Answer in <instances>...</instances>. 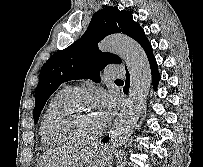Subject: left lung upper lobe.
<instances>
[{
    "mask_svg": "<svg viewBox=\"0 0 203 167\" xmlns=\"http://www.w3.org/2000/svg\"><path fill=\"white\" fill-rule=\"evenodd\" d=\"M112 33L126 34L141 46L148 41L131 12L109 6L94 13L83 36L69 47L57 51L42 66L35 91V123L46 101L63 82L90 78L99 83L100 70L110 63L122 62L119 56L98 50V42Z\"/></svg>",
    "mask_w": 203,
    "mask_h": 167,
    "instance_id": "1",
    "label": "left lung upper lobe"
}]
</instances>
